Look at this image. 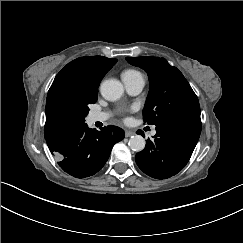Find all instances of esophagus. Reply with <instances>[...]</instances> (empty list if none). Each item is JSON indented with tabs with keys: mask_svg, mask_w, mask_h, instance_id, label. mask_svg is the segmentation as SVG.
Wrapping results in <instances>:
<instances>
[{
	"mask_svg": "<svg viewBox=\"0 0 243 243\" xmlns=\"http://www.w3.org/2000/svg\"><path fill=\"white\" fill-rule=\"evenodd\" d=\"M133 135H135V132H133V131H125V137L126 138H128V137H131V136H133Z\"/></svg>",
	"mask_w": 243,
	"mask_h": 243,
	"instance_id": "esophagus-1",
	"label": "esophagus"
}]
</instances>
